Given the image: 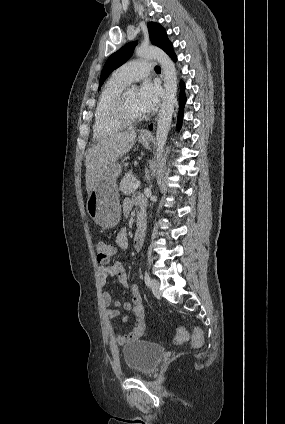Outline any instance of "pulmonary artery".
<instances>
[{
  "instance_id": "1",
  "label": "pulmonary artery",
  "mask_w": 285,
  "mask_h": 424,
  "mask_svg": "<svg viewBox=\"0 0 285 424\" xmlns=\"http://www.w3.org/2000/svg\"><path fill=\"white\" fill-rule=\"evenodd\" d=\"M151 69V64L148 61L134 60L119 67L113 76L117 80L129 84L135 80L145 78Z\"/></svg>"
}]
</instances>
